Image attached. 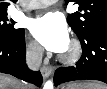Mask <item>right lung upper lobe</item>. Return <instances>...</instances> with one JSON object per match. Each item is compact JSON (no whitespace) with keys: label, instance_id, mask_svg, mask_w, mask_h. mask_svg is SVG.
<instances>
[{"label":"right lung upper lobe","instance_id":"right-lung-upper-lobe-1","mask_svg":"<svg viewBox=\"0 0 107 89\" xmlns=\"http://www.w3.org/2000/svg\"><path fill=\"white\" fill-rule=\"evenodd\" d=\"M10 1L15 2V0ZM9 5H10L9 0H2L0 3V14L6 13Z\"/></svg>","mask_w":107,"mask_h":89}]
</instances>
